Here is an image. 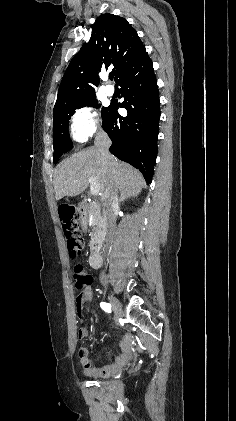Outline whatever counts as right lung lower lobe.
I'll return each instance as SVG.
<instances>
[{
  "label": "right lung lower lobe",
  "mask_w": 236,
  "mask_h": 421,
  "mask_svg": "<svg viewBox=\"0 0 236 421\" xmlns=\"http://www.w3.org/2000/svg\"><path fill=\"white\" fill-rule=\"evenodd\" d=\"M124 101L112 102L102 116L103 128L112 140L110 152L128 162L151 183L157 157L160 119L159 91L148 54L124 69L116 80ZM119 107L128 112L117 113Z\"/></svg>",
  "instance_id": "right-lung-lower-lobe-1"
}]
</instances>
